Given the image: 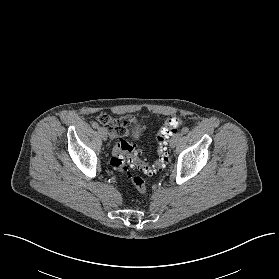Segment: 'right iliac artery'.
Returning a JSON list of instances; mask_svg holds the SVG:
<instances>
[{"instance_id": "right-iliac-artery-1", "label": "right iliac artery", "mask_w": 279, "mask_h": 279, "mask_svg": "<svg viewBox=\"0 0 279 279\" xmlns=\"http://www.w3.org/2000/svg\"><path fill=\"white\" fill-rule=\"evenodd\" d=\"M91 125H92V127L95 128V129H99V128H100V127H99V124H98L97 122H95V121H93V122L91 123Z\"/></svg>"}]
</instances>
